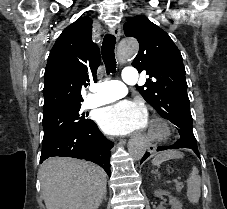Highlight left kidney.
Returning a JSON list of instances; mask_svg holds the SVG:
<instances>
[{
    "mask_svg": "<svg viewBox=\"0 0 227 209\" xmlns=\"http://www.w3.org/2000/svg\"><path fill=\"white\" fill-rule=\"evenodd\" d=\"M155 197H162V195H167V197H170L169 203L171 205V209H182V203L181 201H178V199H175V197H171L170 193H167V191H154Z\"/></svg>",
    "mask_w": 227,
    "mask_h": 209,
    "instance_id": "1",
    "label": "left kidney"
}]
</instances>
